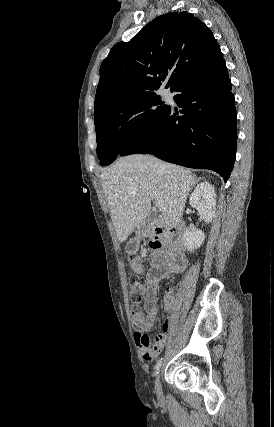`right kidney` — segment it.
I'll list each match as a JSON object with an SVG mask.
<instances>
[{"instance_id":"ca27d5eb","label":"right kidney","mask_w":274,"mask_h":427,"mask_svg":"<svg viewBox=\"0 0 274 427\" xmlns=\"http://www.w3.org/2000/svg\"><path fill=\"white\" fill-rule=\"evenodd\" d=\"M189 204L192 208L198 210V214L204 221L209 223L216 212V194L213 186L209 182L198 184L190 196ZM204 239L205 235L202 229H190V227H187L186 231H184V245L189 251L200 247Z\"/></svg>"}]
</instances>
